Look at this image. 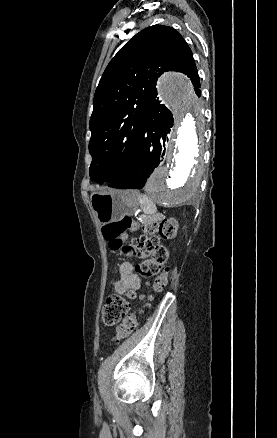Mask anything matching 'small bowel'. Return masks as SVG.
<instances>
[{"instance_id": "small-bowel-1", "label": "small bowel", "mask_w": 277, "mask_h": 438, "mask_svg": "<svg viewBox=\"0 0 277 438\" xmlns=\"http://www.w3.org/2000/svg\"><path fill=\"white\" fill-rule=\"evenodd\" d=\"M120 279L115 283V290L119 293H125L128 290H138L141 286L140 278L133 272V264L130 261H124L120 265Z\"/></svg>"}]
</instances>
